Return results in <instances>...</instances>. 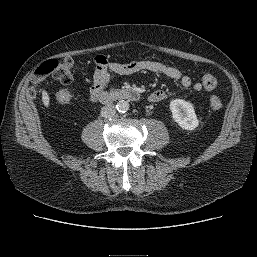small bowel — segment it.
Returning a JSON list of instances; mask_svg holds the SVG:
<instances>
[{
  "mask_svg": "<svg viewBox=\"0 0 257 257\" xmlns=\"http://www.w3.org/2000/svg\"><path fill=\"white\" fill-rule=\"evenodd\" d=\"M96 71L93 76V86L90 89V97L95 100L106 88L110 80L109 71L119 75H131L137 72H151L165 75L167 78L178 82L183 88H190L200 91L203 85L200 82H193L189 76L183 75L177 68L158 61L140 60L130 63L109 62L105 57L98 56L95 59ZM167 93L163 90H155L149 96L153 103L166 99Z\"/></svg>",
  "mask_w": 257,
  "mask_h": 257,
  "instance_id": "c3829d8e",
  "label": "small bowel"
}]
</instances>
